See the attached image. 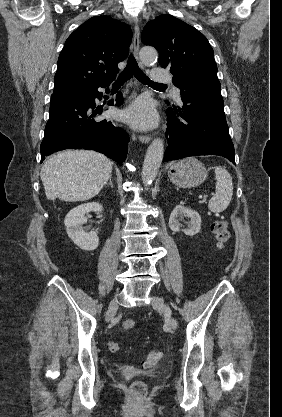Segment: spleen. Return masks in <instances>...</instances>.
Returning <instances> with one entry per match:
<instances>
[{
	"label": "spleen",
	"mask_w": 282,
	"mask_h": 417,
	"mask_svg": "<svg viewBox=\"0 0 282 417\" xmlns=\"http://www.w3.org/2000/svg\"><path fill=\"white\" fill-rule=\"evenodd\" d=\"M216 178V192L208 202V209L212 213H223L229 206L233 194V184L230 172L223 166H214Z\"/></svg>",
	"instance_id": "spleen-1"
}]
</instances>
